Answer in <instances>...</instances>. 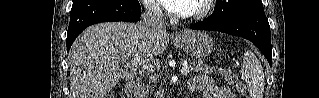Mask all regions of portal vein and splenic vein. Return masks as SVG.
Instances as JSON below:
<instances>
[{
  "label": "portal vein and splenic vein",
  "instance_id": "1",
  "mask_svg": "<svg viewBox=\"0 0 319 98\" xmlns=\"http://www.w3.org/2000/svg\"><path fill=\"white\" fill-rule=\"evenodd\" d=\"M131 65L136 67H143L145 69H150V66H148V63H145L142 59H139L138 57H134L131 60ZM181 73L183 75H187L189 73V66H183L181 69Z\"/></svg>",
  "mask_w": 319,
  "mask_h": 98
}]
</instances>
